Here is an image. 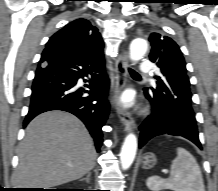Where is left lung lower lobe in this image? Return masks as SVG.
<instances>
[{"mask_svg": "<svg viewBox=\"0 0 218 191\" xmlns=\"http://www.w3.org/2000/svg\"><path fill=\"white\" fill-rule=\"evenodd\" d=\"M145 96L152 103L153 113L140 126V142L142 147L149 139L161 134L183 136L200 149L197 126H192L195 114L192 107L182 102L168 103L162 97L154 95L148 88Z\"/></svg>", "mask_w": 218, "mask_h": 191, "instance_id": "obj_1", "label": "left lung lower lobe"}]
</instances>
